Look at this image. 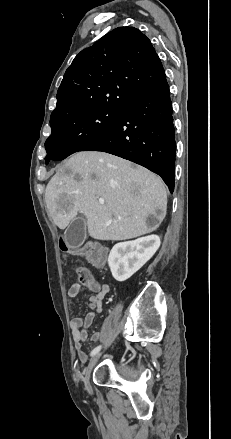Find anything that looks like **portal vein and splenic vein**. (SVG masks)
<instances>
[{
    "mask_svg": "<svg viewBox=\"0 0 231 439\" xmlns=\"http://www.w3.org/2000/svg\"><path fill=\"white\" fill-rule=\"evenodd\" d=\"M99 203H100V204H104V200H103V199H100V200H99Z\"/></svg>",
    "mask_w": 231,
    "mask_h": 439,
    "instance_id": "18ae733b",
    "label": "portal vein and splenic vein"
}]
</instances>
